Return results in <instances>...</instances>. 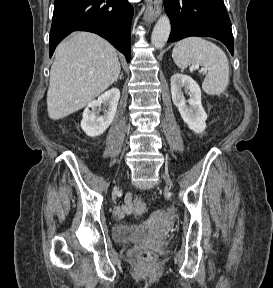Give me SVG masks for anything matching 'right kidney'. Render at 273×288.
Wrapping results in <instances>:
<instances>
[{"mask_svg": "<svg viewBox=\"0 0 273 288\" xmlns=\"http://www.w3.org/2000/svg\"><path fill=\"white\" fill-rule=\"evenodd\" d=\"M120 98L118 88H112L88 104L83 112L81 128L86 135L96 137L103 134L113 122L117 111V105ZM102 105L107 108L104 115L99 116L98 108Z\"/></svg>", "mask_w": 273, "mask_h": 288, "instance_id": "1", "label": "right kidney"}]
</instances>
